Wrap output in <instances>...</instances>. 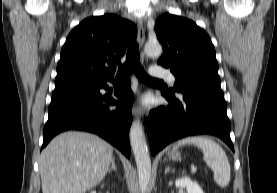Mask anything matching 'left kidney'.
Segmentation results:
<instances>
[{
	"mask_svg": "<svg viewBox=\"0 0 277 193\" xmlns=\"http://www.w3.org/2000/svg\"><path fill=\"white\" fill-rule=\"evenodd\" d=\"M178 188H186L187 193H204L199 184L188 177H182L175 181Z\"/></svg>",
	"mask_w": 277,
	"mask_h": 193,
	"instance_id": "left-kidney-1",
	"label": "left kidney"
}]
</instances>
